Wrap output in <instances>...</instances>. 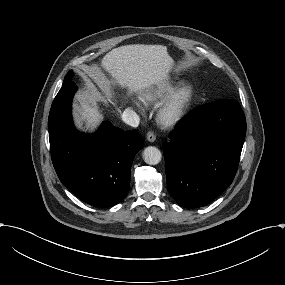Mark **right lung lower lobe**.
Listing matches in <instances>:
<instances>
[{
    "label": "right lung lower lobe",
    "instance_id": "1",
    "mask_svg": "<svg viewBox=\"0 0 285 285\" xmlns=\"http://www.w3.org/2000/svg\"><path fill=\"white\" fill-rule=\"evenodd\" d=\"M76 89L71 80L63 84L50 109L52 162L63 185L80 200L111 207L129 192L131 165L143 141L136 130L123 131L109 122L93 135L76 131L71 117Z\"/></svg>",
    "mask_w": 285,
    "mask_h": 285
}]
</instances>
